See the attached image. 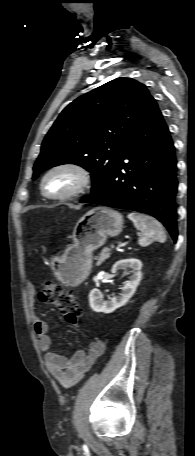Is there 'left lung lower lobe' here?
<instances>
[{"label":"left lung lower lobe","mask_w":195,"mask_h":456,"mask_svg":"<svg viewBox=\"0 0 195 456\" xmlns=\"http://www.w3.org/2000/svg\"><path fill=\"white\" fill-rule=\"evenodd\" d=\"M176 163L170 132L154 102L130 131L99 189L80 202L152 215L176 241Z\"/></svg>","instance_id":"0a47b994"}]
</instances>
